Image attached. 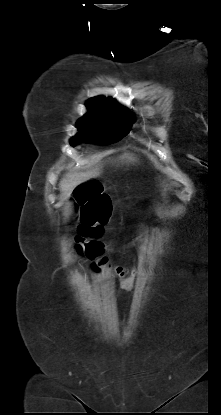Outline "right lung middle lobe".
<instances>
[{
	"label": "right lung middle lobe",
	"mask_w": 221,
	"mask_h": 415,
	"mask_svg": "<svg viewBox=\"0 0 221 415\" xmlns=\"http://www.w3.org/2000/svg\"><path fill=\"white\" fill-rule=\"evenodd\" d=\"M133 115L126 111H110L88 107V113L76 124L78 133L70 144H111L121 140L130 131Z\"/></svg>",
	"instance_id": "obj_1"
}]
</instances>
